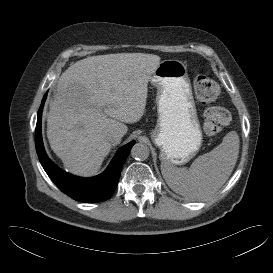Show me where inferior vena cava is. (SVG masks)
Segmentation results:
<instances>
[{"label":"inferior vena cava","mask_w":273,"mask_h":273,"mask_svg":"<svg viewBox=\"0 0 273 273\" xmlns=\"http://www.w3.org/2000/svg\"><path fill=\"white\" fill-rule=\"evenodd\" d=\"M108 140L112 143V144H118L120 143L121 141V137L114 133V134H111L109 137H108Z\"/></svg>","instance_id":"obj_1"}]
</instances>
